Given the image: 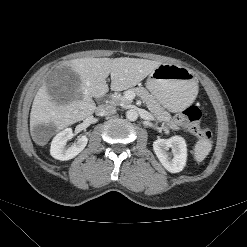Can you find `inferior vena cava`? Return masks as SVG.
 Masks as SVG:
<instances>
[{
	"label": "inferior vena cava",
	"mask_w": 247,
	"mask_h": 247,
	"mask_svg": "<svg viewBox=\"0 0 247 247\" xmlns=\"http://www.w3.org/2000/svg\"><path fill=\"white\" fill-rule=\"evenodd\" d=\"M115 112H116V108L110 104L100 105L96 110V114L98 116L112 115Z\"/></svg>",
	"instance_id": "1"
}]
</instances>
